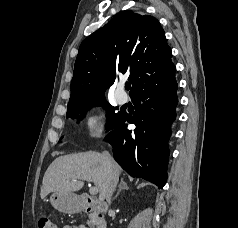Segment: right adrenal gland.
<instances>
[{"label":"right adrenal gland","instance_id":"2a0ac1e0","mask_svg":"<svg viewBox=\"0 0 238 228\" xmlns=\"http://www.w3.org/2000/svg\"><path fill=\"white\" fill-rule=\"evenodd\" d=\"M123 189H124V190H128L129 187L127 186V184L125 183L124 179L122 178L121 181H120V184H119V189H118V191H117L115 197L113 198V200L118 197V195L120 194V192H121Z\"/></svg>","mask_w":238,"mask_h":228}]
</instances>
